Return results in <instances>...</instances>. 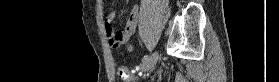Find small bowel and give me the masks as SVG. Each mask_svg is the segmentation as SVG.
I'll use <instances>...</instances> for the list:
<instances>
[{
    "mask_svg": "<svg viewBox=\"0 0 279 82\" xmlns=\"http://www.w3.org/2000/svg\"><path fill=\"white\" fill-rule=\"evenodd\" d=\"M138 15H139L138 6L134 5L130 10L124 29L115 30L112 26V22L116 16V12L111 11L107 14L104 21V25L106 29V34L108 36L109 45L112 48H120V47L131 48V39L137 26Z\"/></svg>",
    "mask_w": 279,
    "mask_h": 82,
    "instance_id": "1",
    "label": "small bowel"
}]
</instances>
